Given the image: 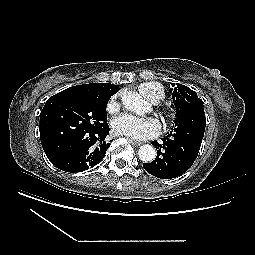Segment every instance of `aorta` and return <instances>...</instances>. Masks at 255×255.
Listing matches in <instances>:
<instances>
[{
  "mask_svg": "<svg viewBox=\"0 0 255 255\" xmlns=\"http://www.w3.org/2000/svg\"><path fill=\"white\" fill-rule=\"evenodd\" d=\"M123 105L130 111L140 114L143 109V101L136 93H126L122 96ZM140 160L150 163L156 158V150L152 145H142L138 150Z\"/></svg>",
  "mask_w": 255,
  "mask_h": 255,
  "instance_id": "762f6f07",
  "label": "aorta"
}]
</instances>
